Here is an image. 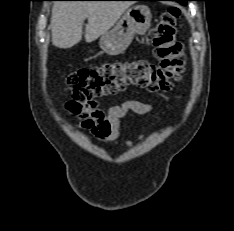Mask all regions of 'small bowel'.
Wrapping results in <instances>:
<instances>
[{
	"label": "small bowel",
	"instance_id": "c3829d8e",
	"mask_svg": "<svg viewBox=\"0 0 234 231\" xmlns=\"http://www.w3.org/2000/svg\"><path fill=\"white\" fill-rule=\"evenodd\" d=\"M156 109L155 105L138 100H126L120 105L106 109L99 107L98 102L86 103L78 113V122L75 127L88 131L101 143H111L118 140L120 121L130 113L144 115ZM123 144L130 147L132 143Z\"/></svg>",
	"mask_w": 234,
	"mask_h": 231
}]
</instances>
